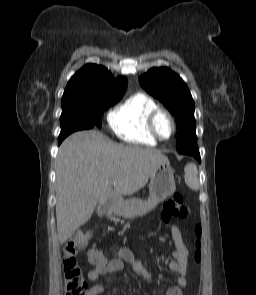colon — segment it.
<instances>
[{
	"instance_id": "5ec220e1",
	"label": "colon",
	"mask_w": 256,
	"mask_h": 295,
	"mask_svg": "<svg viewBox=\"0 0 256 295\" xmlns=\"http://www.w3.org/2000/svg\"><path fill=\"white\" fill-rule=\"evenodd\" d=\"M188 215V210L183 204L181 193H174L163 205L161 211V220L168 225L174 219H184ZM195 235L198 238L196 242L197 251L195 260L201 259L199 238L202 233L200 224L195 226ZM89 233L78 231L72 235L63 248L62 268L64 273V284L66 295H87V284L82 276L81 267L77 261L78 254L83 251L88 243ZM104 261L102 253L98 250H91L89 253V262L92 265L100 264Z\"/></svg>"
}]
</instances>
